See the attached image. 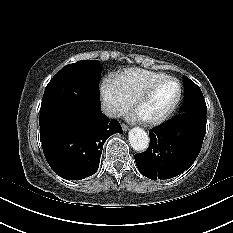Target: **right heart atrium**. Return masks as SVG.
Instances as JSON below:
<instances>
[{
	"label": "right heart atrium",
	"instance_id": "1",
	"mask_svg": "<svg viewBox=\"0 0 233 233\" xmlns=\"http://www.w3.org/2000/svg\"><path fill=\"white\" fill-rule=\"evenodd\" d=\"M101 96L108 116L119 117L130 108V100L119 90L114 80L104 78L101 83Z\"/></svg>",
	"mask_w": 233,
	"mask_h": 233
}]
</instances>
